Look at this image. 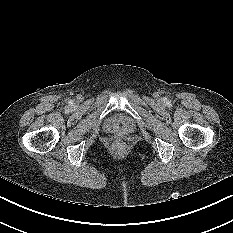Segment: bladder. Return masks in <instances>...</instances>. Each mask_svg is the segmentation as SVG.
<instances>
[{"label":"bladder","mask_w":233,"mask_h":233,"mask_svg":"<svg viewBox=\"0 0 233 233\" xmlns=\"http://www.w3.org/2000/svg\"><path fill=\"white\" fill-rule=\"evenodd\" d=\"M106 129L116 133L128 134L134 130V126L126 116L115 114L106 121Z\"/></svg>","instance_id":"31cf9c89"}]
</instances>
